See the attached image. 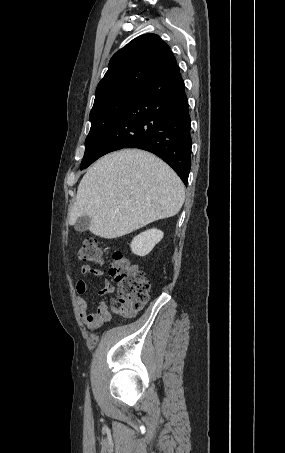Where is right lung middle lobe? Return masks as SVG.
I'll list each match as a JSON object with an SVG mask.
<instances>
[{
	"label": "right lung middle lobe",
	"mask_w": 285,
	"mask_h": 453,
	"mask_svg": "<svg viewBox=\"0 0 285 453\" xmlns=\"http://www.w3.org/2000/svg\"><path fill=\"white\" fill-rule=\"evenodd\" d=\"M137 91L121 94L92 108L91 129L85 140L81 170L96 160L98 151Z\"/></svg>",
	"instance_id": "obj_1"
}]
</instances>
